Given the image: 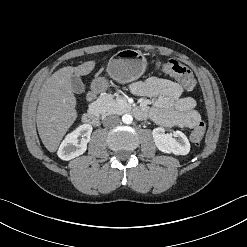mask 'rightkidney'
Masks as SVG:
<instances>
[{
	"instance_id": "ca27d5eb",
	"label": "right kidney",
	"mask_w": 247,
	"mask_h": 247,
	"mask_svg": "<svg viewBox=\"0 0 247 247\" xmlns=\"http://www.w3.org/2000/svg\"><path fill=\"white\" fill-rule=\"evenodd\" d=\"M92 129V125L83 124L71 131L62 141L57 152L58 157L68 161L82 155L87 150Z\"/></svg>"
}]
</instances>
